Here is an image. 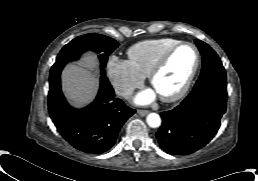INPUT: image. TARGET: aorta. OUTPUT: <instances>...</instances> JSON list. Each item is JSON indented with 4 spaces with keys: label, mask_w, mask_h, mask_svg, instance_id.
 <instances>
[{
    "label": "aorta",
    "mask_w": 258,
    "mask_h": 181,
    "mask_svg": "<svg viewBox=\"0 0 258 181\" xmlns=\"http://www.w3.org/2000/svg\"><path fill=\"white\" fill-rule=\"evenodd\" d=\"M146 122L151 128H157L161 125V118L157 113H149Z\"/></svg>",
    "instance_id": "aorta-1"
}]
</instances>
